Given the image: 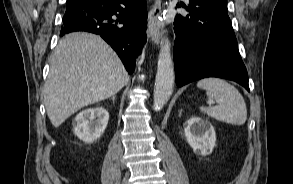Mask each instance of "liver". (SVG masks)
<instances>
[{
    "label": "liver",
    "mask_w": 293,
    "mask_h": 184,
    "mask_svg": "<svg viewBox=\"0 0 293 184\" xmlns=\"http://www.w3.org/2000/svg\"><path fill=\"white\" fill-rule=\"evenodd\" d=\"M129 81L121 60L99 36L74 32L59 41L44 85V105L54 127L81 108L118 93Z\"/></svg>",
    "instance_id": "6515ba94"
}]
</instances>
